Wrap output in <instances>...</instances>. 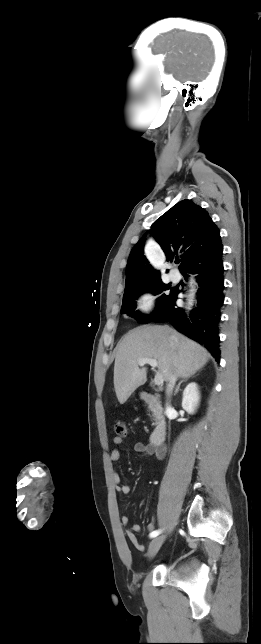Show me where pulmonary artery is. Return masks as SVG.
<instances>
[{
  "label": "pulmonary artery",
  "instance_id": "1",
  "mask_svg": "<svg viewBox=\"0 0 261 644\" xmlns=\"http://www.w3.org/2000/svg\"><path fill=\"white\" fill-rule=\"evenodd\" d=\"M169 276H170V279L173 282H177L179 280V278H180L179 274L177 272H175V271H171Z\"/></svg>",
  "mask_w": 261,
  "mask_h": 644
}]
</instances>
